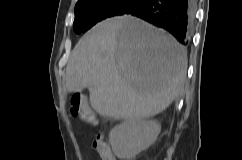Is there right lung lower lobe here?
<instances>
[{
	"instance_id": "98d812e1",
	"label": "right lung lower lobe",
	"mask_w": 242,
	"mask_h": 160,
	"mask_svg": "<svg viewBox=\"0 0 242 160\" xmlns=\"http://www.w3.org/2000/svg\"><path fill=\"white\" fill-rule=\"evenodd\" d=\"M125 14L167 30L186 45L191 37L195 0H142Z\"/></svg>"
}]
</instances>
